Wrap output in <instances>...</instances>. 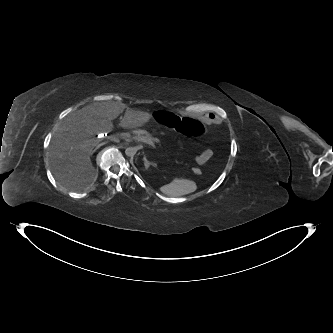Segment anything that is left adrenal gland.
<instances>
[{
  "label": "left adrenal gland",
  "mask_w": 333,
  "mask_h": 333,
  "mask_svg": "<svg viewBox=\"0 0 333 333\" xmlns=\"http://www.w3.org/2000/svg\"><path fill=\"white\" fill-rule=\"evenodd\" d=\"M143 160L146 170H148L150 166H155V163L148 161L146 156L143 157Z\"/></svg>",
  "instance_id": "a2214340"
}]
</instances>
